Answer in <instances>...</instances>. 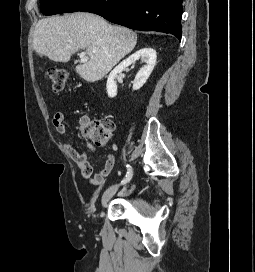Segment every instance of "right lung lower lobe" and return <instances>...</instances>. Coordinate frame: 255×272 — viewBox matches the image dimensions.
I'll return each instance as SVG.
<instances>
[{"instance_id":"obj_1","label":"right lung lower lobe","mask_w":255,"mask_h":272,"mask_svg":"<svg viewBox=\"0 0 255 272\" xmlns=\"http://www.w3.org/2000/svg\"><path fill=\"white\" fill-rule=\"evenodd\" d=\"M183 0H94L81 12L98 14L134 30L159 31L181 40Z\"/></svg>"}]
</instances>
